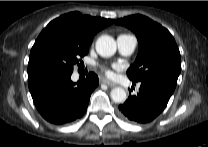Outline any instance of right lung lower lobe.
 <instances>
[{
  "label": "right lung lower lobe",
  "mask_w": 208,
  "mask_h": 147,
  "mask_svg": "<svg viewBox=\"0 0 208 147\" xmlns=\"http://www.w3.org/2000/svg\"><path fill=\"white\" fill-rule=\"evenodd\" d=\"M72 73H35L28 77L34 104L44 119L61 125L75 121L85 113L90 95L98 85V76L89 73L83 81H71Z\"/></svg>",
  "instance_id": "1"
}]
</instances>
